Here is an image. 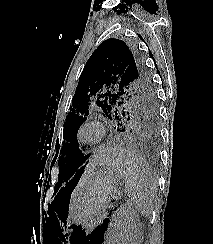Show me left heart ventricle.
Returning a JSON list of instances; mask_svg holds the SVG:
<instances>
[{"label":"left heart ventricle","mask_w":213,"mask_h":244,"mask_svg":"<svg viewBox=\"0 0 213 244\" xmlns=\"http://www.w3.org/2000/svg\"><path fill=\"white\" fill-rule=\"evenodd\" d=\"M97 131L94 128L88 129L85 131L84 136L88 139L96 137Z\"/></svg>","instance_id":"obj_1"}]
</instances>
